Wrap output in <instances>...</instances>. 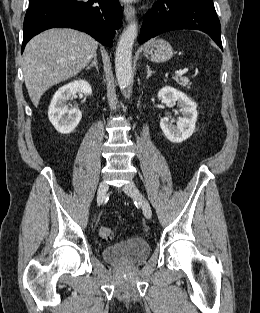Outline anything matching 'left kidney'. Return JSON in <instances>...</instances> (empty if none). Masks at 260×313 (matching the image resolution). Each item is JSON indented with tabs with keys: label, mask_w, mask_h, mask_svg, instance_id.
Listing matches in <instances>:
<instances>
[{
	"label": "left kidney",
	"mask_w": 260,
	"mask_h": 313,
	"mask_svg": "<svg viewBox=\"0 0 260 313\" xmlns=\"http://www.w3.org/2000/svg\"><path fill=\"white\" fill-rule=\"evenodd\" d=\"M158 98L163 104H172L177 102L182 117H180L176 125L170 122L169 118L164 117L160 120V127L168 140L174 143H181L188 139L195 131L197 121V105L183 92L173 87H163L158 92Z\"/></svg>",
	"instance_id": "5707ae66"
}]
</instances>
